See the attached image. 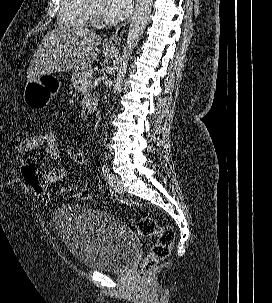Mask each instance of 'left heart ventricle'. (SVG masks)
Returning a JSON list of instances; mask_svg holds the SVG:
<instances>
[{
  "label": "left heart ventricle",
  "mask_w": 272,
  "mask_h": 303,
  "mask_svg": "<svg viewBox=\"0 0 272 303\" xmlns=\"http://www.w3.org/2000/svg\"><path fill=\"white\" fill-rule=\"evenodd\" d=\"M93 4L95 5V7L101 12L102 14V9H103V5H104V0H93Z\"/></svg>",
  "instance_id": "left-heart-ventricle-1"
}]
</instances>
